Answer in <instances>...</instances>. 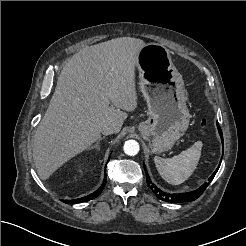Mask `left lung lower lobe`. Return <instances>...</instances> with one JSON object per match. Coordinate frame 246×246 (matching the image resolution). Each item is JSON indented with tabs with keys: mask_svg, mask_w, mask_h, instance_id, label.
<instances>
[{
	"mask_svg": "<svg viewBox=\"0 0 246 246\" xmlns=\"http://www.w3.org/2000/svg\"><path fill=\"white\" fill-rule=\"evenodd\" d=\"M217 128L219 130V134L221 136V140H222V144H223V135H222V131L221 128L219 126V124L217 123ZM221 163V161H220ZM220 167V164L218 166V168L216 169V171L211 175V177L208 179V182L204 183L199 189L192 191V192H187V193H180V194H170V193H166L161 191L159 188H157L149 179L148 173L146 172V179H147V183L150 185V188L153 190V192L155 193V195L166 202H176V203H180V202H186V201H194L196 200L203 192L204 190L207 188V186L210 184V182L212 181V179L214 178L215 174L217 173L218 169Z\"/></svg>",
	"mask_w": 246,
	"mask_h": 246,
	"instance_id": "0a47b994",
	"label": "left lung lower lobe"
}]
</instances>
